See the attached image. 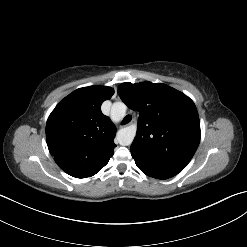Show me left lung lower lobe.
I'll use <instances>...</instances> for the list:
<instances>
[{"instance_id":"0a47b994","label":"left lung lower lobe","mask_w":247,"mask_h":247,"mask_svg":"<svg viewBox=\"0 0 247 247\" xmlns=\"http://www.w3.org/2000/svg\"><path fill=\"white\" fill-rule=\"evenodd\" d=\"M132 157L135 160V163L137 167L146 175L156 178V179H168L170 177L175 176L178 174L175 171H171L168 169H165L161 167L158 163L155 161H152L151 159L136 154L134 152H131Z\"/></svg>"}]
</instances>
